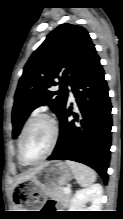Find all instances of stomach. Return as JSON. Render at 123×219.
<instances>
[{"label":"stomach","instance_id":"0dacf381","mask_svg":"<svg viewBox=\"0 0 123 219\" xmlns=\"http://www.w3.org/2000/svg\"><path fill=\"white\" fill-rule=\"evenodd\" d=\"M73 178V172L63 161H49L41 165L36 174L22 182L19 189L20 200L15 211H36L53 189L61 188Z\"/></svg>","mask_w":123,"mask_h":219}]
</instances>
